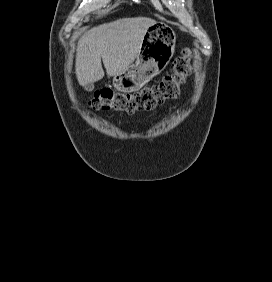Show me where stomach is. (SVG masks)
<instances>
[{"instance_id":"1","label":"stomach","mask_w":272,"mask_h":282,"mask_svg":"<svg viewBox=\"0 0 272 282\" xmlns=\"http://www.w3.org/2000/svg\"><path fill=\"white\" fill-rule=\"evenodd\" d=\"M175 43V33L167 25L155 23L148 27L135 64L114 76L115 89L125 93L141 89L165 69L174 54Z\"/></svg>"}]
</instances>
